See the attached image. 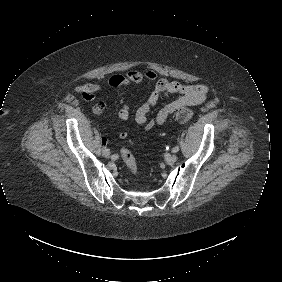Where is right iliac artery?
<instances>
[{
  "mask_svg": "<svg viewBox=\"0 0 282 282\" xmlns=\"http://www.w3.org/2000/svg\"><path fill=\"white\" fill-rule=\"evenodd\" d=\"M98 154H101V151H100V150L98 151Z\"/></svg>",
  "mask_w": 282,
  "mask_h": 282,
  "instance_id": "1",
  "label": "right iliac artery"
}]
</instances>
